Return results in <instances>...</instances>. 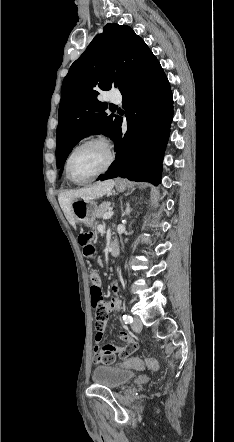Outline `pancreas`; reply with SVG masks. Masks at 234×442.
Wrapping results in <instances>:
<instances>
[{
	"instance_id": "obj_1",
	"label": "pancreas",
	"mask_w": 234,
	"mask_h": 442,
	"mask_svg": "<svg viewBox=\"0 0 234 442\" xmlns=\"http://www.w3.org/2000/svg\"><path fill=\"white\" fill-rule=\"evenodd\" d=\"M110 202H103L102 204H100V206L97 208L96 210V217L97 218H101L103 217V215L110 210Z\"/></svg>"
}]
</instances>
